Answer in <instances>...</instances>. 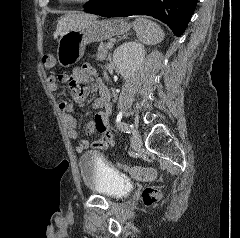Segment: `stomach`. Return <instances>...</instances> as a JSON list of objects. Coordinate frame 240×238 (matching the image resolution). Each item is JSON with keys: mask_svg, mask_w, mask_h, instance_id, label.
Here are the masks:
<instances>
[{"mask_svg": "<svg viewBox=\"0 0 240 238\" xmlns=\"http://www.w3.org/2000/svg\"><path fill=\"white\" fill-rule=\"evenodd\" d=\"M131 25L125 19L88 20L80 27L69 30L58 39L57 58L62 67L77 63L88 43L100 42L115 35L127 33Z\"/></svg>", "mask_w": 240, "mask_h": 238, "instance_id": "obj_1", "label": "stomach"}]
</instances>
